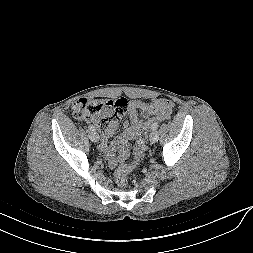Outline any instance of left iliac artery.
<instances>
[{
  "mask_svg": "<svg viewBox=\"0 0 253 253\" xmlns=\"http://www.w3.org/2000/svg\"><path fill=\"white\" fill-rule=\"evenodd\" d=\"M159 124L157 122L153 123L151 126L152 130H156L158 128Z\"/></svg>",
  "mask_w": 253,
  "mask_h": 253,
  "instance_id": "obj_1",
  "label": "left iliac artery"
}]
</instances>
